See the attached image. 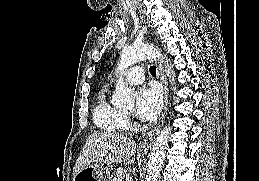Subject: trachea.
<instances>
[{
  "label": "trachea",
  "mask_w": 259,
  "mask_h": 181,
  "mask_svg": "<svg viewBox=\"0 0 259 181\" xmlns=\"http://www.w3.org/2000/svg\"><path fill=\"white\" fill-rule=\"evenodd\" d=\"M151 75L156 76V66H151L149 69Z\"/></svg>",
  "instance_id": "trachea-1"
}]
</instances>
